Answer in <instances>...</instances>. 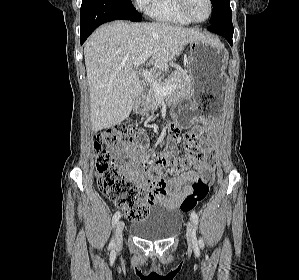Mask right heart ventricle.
Returning a JSON list of instances; mask_svg holds the SVG:
<instances>
[{"label":"right heart ventricle","instance_id":"obj_1","mask_svg":"<svg viewBox=\"0 0 299 280\" xmlns=\"http://www.w3.org/2000/svg\"><path fill=\"white\" fill-rule=\"evenodd\" d=\"M146 11L153 19L176 25H189L191 22L181 13L177 0H150Z\"/></svg>","mask_w":299,"mask_h":280}]
</instances>
